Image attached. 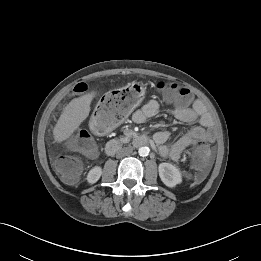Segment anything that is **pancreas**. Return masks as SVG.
<instances>
[{
    "label": "pancreas",
    "instance_id": "obj_1",
    "mask_svg": "<svg viewBox=\"0 0 261 261\" xmlns=\"http://www.w3.org/2000/svg\"><path fill=\"white\" fill-rule=\"evenodd\" d=\"M128 138H129V136L121 137L120 139H121V141H125V140L128 139Z\"/></svg>",
    "mask_w": 261,
    "mask_h": 261
}]
</instances>
